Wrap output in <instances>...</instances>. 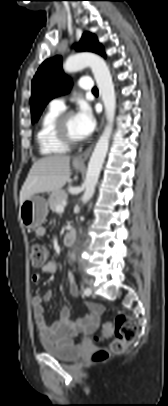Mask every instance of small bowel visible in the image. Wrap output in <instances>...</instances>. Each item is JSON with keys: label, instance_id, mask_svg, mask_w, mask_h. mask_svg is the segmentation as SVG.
<instances>
[{"label": "small bowel", "instance_id": "c3829d8e", "mask_svg": "<svg viewBox=\"0 0 168 406\" xmlns=\"http://www.w3.org/2000/svg\"><path fill=\"white\" fill-rule=\"evenodd\" d=\"M46 228L39 227L36 234L39 237L46 235ZM56 270L53 262L43 266L42 273L51 274ZM42 278L41 273L32 275V281L38 283ZM68 292L72 296L78 295V286L73 274L68 275ZM52 299V292L47 291L42 296H35L32 299L33 317L44 339L62 345L71 344V335L75 333L91 334L99 326L100 316L103 313V307L95 302L87 301L85 303L89 314L72 319L70 310L67 306L62 305L59 310V318L53 324H48L45 317L44 302Z\"/></svg>", "mask_w": 168, "mask_h": 406}]
</instances>
